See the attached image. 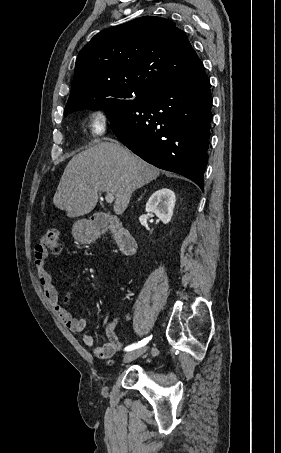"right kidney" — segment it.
I'll return each mask as SVG.
<instances>
[{
	"label": "right kidney",
	"instance_id": "ca27d5eb",
	"mask_svg": "<svg viewBox=\"0 0 281 453\" xmlns=\"http://www.w3.org/2000/svg\"><path fill=\"white\" fill-rule=\"evenodd\" d=\"M175 192L171 188H159L146 202V212H154L164 224L171 220L175 206Z\"/></svg>",
	"mask_w": 281,
	"mask_h": 453
}]
</instances>
